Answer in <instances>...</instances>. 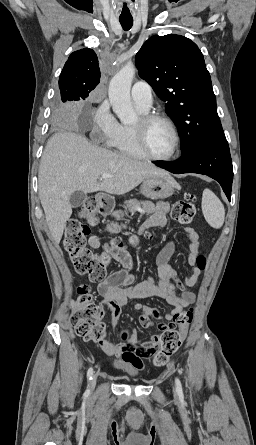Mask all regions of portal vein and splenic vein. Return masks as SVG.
<instances>
[{
	"mask_svg": "<svg viewBox=\"0 0 256 445\" xmlns=\"http://www.w3.org/2000/svg\"><path fill=\"white\" fill-rule=\"evenodd\" d=\"M112 177H113L112 175L107 174V173H104V174L101 175V178H102V179H108V178H112ZM141 211H142V210H141Z\"/></svg>",
	"mask_w": 256,
	"mask_h": 445,
	"instance_id": "portal-vein-and-splenic-vein-1",
	"label": "portal vein and splenic vein"
}]
</instances>
